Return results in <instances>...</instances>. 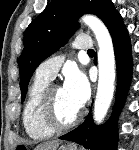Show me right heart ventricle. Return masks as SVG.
Here are the masks:
<instances>
[{"mask_svg":"<svg viewBox=\"0 0 139 150\" xmlns=\"http://www.w3.org/2000/svg\"><path fill=\"white\" fill-rule=\"evenodd\" d=\"M49 84V79L35 76L24 104L23 126L28 136L35 140L45 139L54 133L42 123L39 114L40 103Z\"/></svg>","mask_w":139,"mask_h":150,"instance_id":"obj_1","label":"right heart ventricle"}]
</instances>
